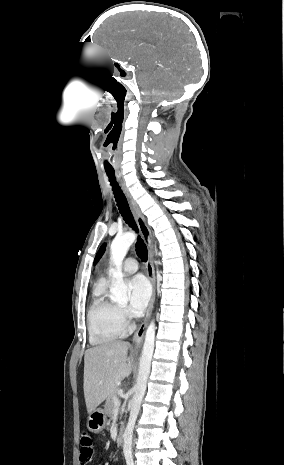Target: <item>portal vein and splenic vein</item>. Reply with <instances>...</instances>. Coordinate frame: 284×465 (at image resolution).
<instances>
[{"mask_svg":"<svg viewBox=\"0 0 284 465\" xmlns=\"http://www.w3.org/2000/svg\"><path fill=\"white\" fill-rule=\"evenodd\" d=\"M114 407H120L121 401L118 399V397H114L113 399Z\"/></svg>","mask_w":284,"mask_h":465,"instance_id":"portal-vein-and-splenic-vein-1","label":"portal vein and splenic vein"}]
</instances>
